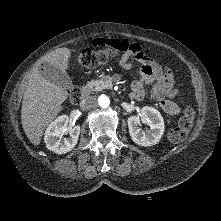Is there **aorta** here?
I'll use <instances>...</instances> for the list:
<instances>
[{
    "label": "aorta",
    "mask_w": 221,
    "mask_h": 221,
    "mask_svg": "<svg viewBox=\"0 0 221 221\" xmlns=\"http://www.w3.org/2000/svg\"><path fill=\"white\" fill-rule=\"evenodd\" d=\"M98 103L102 108H106L110 104V100L106 95H101L98 99Z\"/></svg>",
    "instance_id": "aorta-1"
}]
</instances>
